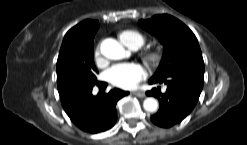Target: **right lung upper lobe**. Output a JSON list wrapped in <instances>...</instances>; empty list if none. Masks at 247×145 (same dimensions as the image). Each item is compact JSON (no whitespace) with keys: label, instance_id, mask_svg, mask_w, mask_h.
<instances>
[{"label":"right lung upper lobe","instance_id":"cb5924a9","mask_svg":"<svg viewBox=\"0 0 247 145\" xmlns=\"http://www.w3.org/2000/svg\"><path fill=\"white\" fill-rule=\"evenodd\" d=\"M99 23L96 20H84L71 28L65 35L63 41L76 40L81 43L93 45V39Z\"/></svg>","mask_w":247,"mask_h":145}]
</instances>
